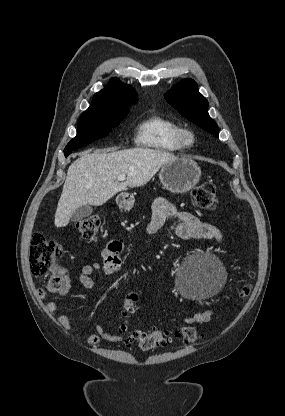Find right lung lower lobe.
Wrapping results in <instances>:
<instances>
[{"label": "right lung lower lobe", "instance_id": "right-lung-lower-lobe-1", "mask_svg": "<svg viewBox=\"0 0 285 416\" xmlns=\"http://www.w3.org/2000/svg\"><path fill=\"white\" fill-rule=\"evenodd\" d=\"M70 153H71V151H70V152H66V153H65V156H68Z\"/></svg>", "mask_w": 285, "mask_h": 416}]
</instances>
